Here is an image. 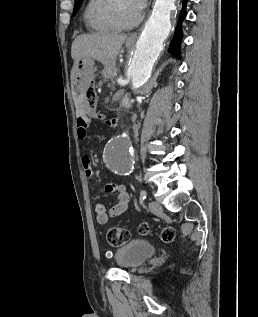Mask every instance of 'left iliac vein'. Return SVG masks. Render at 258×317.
Instances as JSON below:
<instances>
[{
    "label": "left iliac vein",
    "mask_w": 258,
    "mask_h": 317,
    "mask_svg": "<svg viewBox=\"0 0 258 317\" xmlns=\"http://www.w3.org/2000/svg\"><path fill=\"white\" fill-rule=\"evenodd\" d=\"M149 207L154 212V214L162 213L164 210L157 200H151Z\"/></svg>",
    "instance_id": "1"
}]
</instances>
